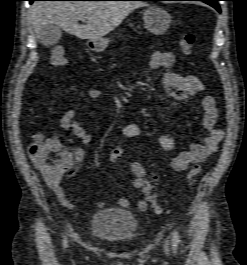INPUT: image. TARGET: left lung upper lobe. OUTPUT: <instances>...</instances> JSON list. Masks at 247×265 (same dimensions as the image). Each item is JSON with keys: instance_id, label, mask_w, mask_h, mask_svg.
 Returning a JSON list of instances; mask_svg holds the SVG:
<instances>
[{"instance_id": "left-lung-upper-lobe-1", "label": "left lung upper lobe", "mask_w": 247, "mask_h": 265, "mask_svg": "<svg viewBox=\"0 0 247 265\" xmlns=\"http://www.w3.org/2000/svg\"><path fill=\"white\" fill-rule=\"evenodd\" d=\"M204 1L216 2V1H219V0H204Z\"/></svg>"}]
</instances>
